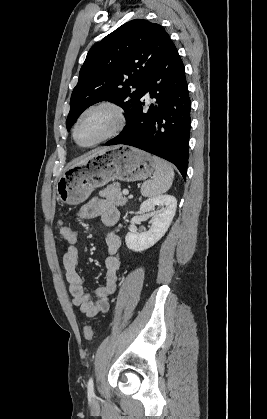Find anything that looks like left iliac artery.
Instances as JSON below:
<instances>
[{
	"instance_id": "obj_1",
	"label": "left iliac artery",
	"mask_w": 267,
	"mask_h": 419,
	"mask_svg": "<svg viewBox=\"0 0 267 419\" xmlns=\"http://www.w3.org/2000/svg\"><path fill=\"white\" fill-rule=\"evenodd\" d=\"M87 391L89 396H94V383L92 377L88 381Z\"/></svg>"
}]
</instances>
